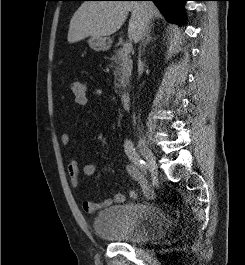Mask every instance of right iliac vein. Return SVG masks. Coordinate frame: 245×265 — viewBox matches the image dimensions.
<instances>
[{"label": "right iliac vein", "instance_id": "1", "mask_svg": "<svg viewBox=\"0 0 245 265\" xmlns=\"http://www.w3.org/2000/svg\"><path fill=\"white\" fill-rule=\"evenodd\" d=\"M138 146L140 148V151L142 155L145 157L147 160V163L149 165L150 170L152 173L156 174L157 173V164H156V157L152 150L148 147L146 142L143 139H140L138 141Z\"/></svg>", "mask_w": 245, "mask_h": 265}]
</instances>
